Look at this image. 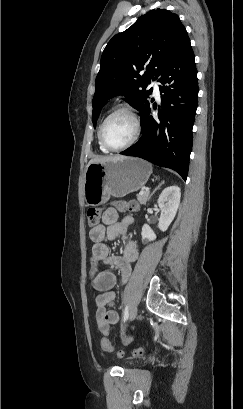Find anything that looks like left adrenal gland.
Here are the masks:
<instances>
[{"instance_id": "obj_1", "label": "left adrenal gland", "mask_w": 243, "mask_h": 409, "mask_svg": "<svg viewBox=\"0 0 243 409\" xmlns=\"http://www.w3.org/2000/svg\"><path fill=\"white\" fill-rule=\"evenodd\" d=\"M160 185H161V184H159V185L155 188V190H157V189L160 187Z\"/></svg>"}]
</instances>
